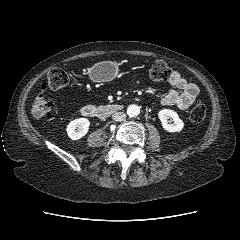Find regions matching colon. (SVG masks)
I'll use <instances>...</instances> for the list:
<instances>
[{
  "label": "colon",
  "instance_id": "1",
  "mask_svg": "<svg viewBox=\"0 0 240 240\" xmlns=\"http://www.w3.org/2000/svg\"><path fill=\"white\" fill-rule=\"evenodd\" d=\"M171 74V70L164 61H156L152 64L150 69V75L154 80L166 81ZM70 80V75L64 68H53L48 76L47 80L42 85V92L35 98L32 104V113L36 117L50 116L53 104L46 96L48 89H61L65 87ZM206 115V105L203 102H199L192 109L190 113V120L192 123H201Z\"/></svg>",
  "mask_w": 240,
  "mask_h": 240
}]
</instances>
